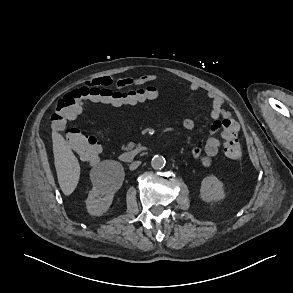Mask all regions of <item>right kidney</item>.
<instances>
[{
	"instance_id": "obj_1",
	"label": "right kidney",
	"mask_w": 293,
	"mask_h": 293,
	"mask_svg": "<svg viewBox=\"0 0 293 293\" xmlns=\"http://www.w3.org/2000/svg\"><path fill=\"white\" fill-rule=\"evenodd\" d=\"M109 168L106 178L94 181L93 188L86 199V208L90 215L101 216L112 204L115 192L121 187L124 169L119 162L105 161ZM117 177V178H116ZM102 195H105L102 198Z\"/></svg>"
}]
</instances>
